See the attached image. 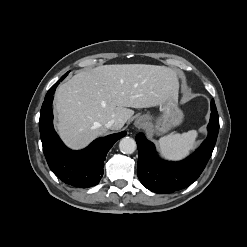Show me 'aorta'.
I'll use <instances>...</instances> for the list:
<instances>
[{
	"instance_id": "aorta-1",
	"label": "aorta",
	"mask_w": 247,
	"mask_h": 247,
	"mask_svg": "<svg viewBox=\"0 0 247 247\" xmlns=\"http://www.w3.org/2000/svg\"><path fill=\"white\" fill-rule=\"evenodd\" d=\"M137 148L136 142L131 137H124L120 140L119 149L124 154H132Z\"/></svg>"
}]
</instances>
